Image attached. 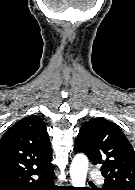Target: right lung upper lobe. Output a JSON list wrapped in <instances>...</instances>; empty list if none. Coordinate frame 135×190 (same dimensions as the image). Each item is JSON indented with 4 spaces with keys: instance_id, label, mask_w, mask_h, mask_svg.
Returning <instances> with one entry per match:
<instances>
[{
    "instance_id": "cb5924a9",
    "label": "right lung upper lobe",
    "mask_w": 135,
    "mask_h": 190,
    "mask_svg": "<svg viewBox=\"0 0 135 190\" xmlns=\"http://www.w3.org/2000/svg\"><path fill=\"white\" fill-rule=\"evenodd\" d=\"M51 159L46 126L38 116L21 119L0 139V174L47 169Z\"/></svg>"
}]
</instances>
